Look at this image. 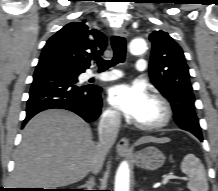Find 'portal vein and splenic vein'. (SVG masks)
<instances>
[{"label":"portal vein and splenic vein","instance_id":"obj_1","mask_svg":"<svg viewBox=\"0 0 218 191\" xmlns=\"http://www.w3.org/2000/svg\"><path fill=\"white\" fill-rule=\"evenodd\" d=\"M174 179H182L178 176H175V175H167L164 177L163 181H162V184H167L170 180H174Z\"/></svg>","mask_w":218,"mask_h":191}]
</instances>
